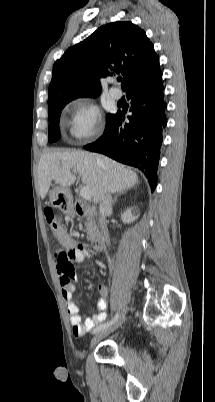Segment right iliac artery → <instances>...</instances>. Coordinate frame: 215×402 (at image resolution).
Returning <instances> with one entry per match:
<instances>
[{
  "label": "right iliac artery",
  "instance_id": "82829eb1",
  "mask_svg": "<svg viewBox=\"0 0 215 402\" xmlns=\"http://www.w3.org/2000/svg\"><path fill=\"white\" fill-rule=\"evenodd\" d=\"M118 318H119V314L117 313V314L114 316V318H113L112 320H110L109 322H106V323H104V324H101V325L97 326V327L93 330V333H97V332H99L100 330H102V329H104V328H106V327H108V326L114 324V323L118 320Z\"/></svg>",
  "mask_w": 215,
  "mask_h": 402
}]
</instances>
